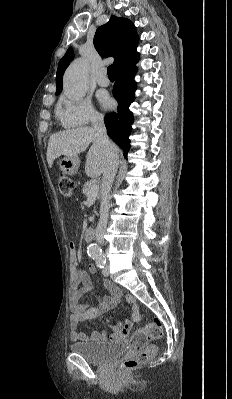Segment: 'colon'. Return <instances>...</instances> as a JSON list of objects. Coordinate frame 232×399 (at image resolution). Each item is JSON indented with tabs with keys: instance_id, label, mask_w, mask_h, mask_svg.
Here are the masks:
<instances>
[{
	"instance_id": "obj_1",
	"label": "colon",
	"mask_w": 232,
	"mask_h": 399,
	"mask_svg": "<svg viewBox=\"0 0 232 399\" xmlns=\"http://www.w3.org/2000/svg\"><path fill=\"white\" fill-rule=\"evenodd\" d=\"M56 183L61 185L62 196L73 197V180H70V177H66V174L57 175ZM159 337L161 327L157 321H150L149 326H134V334H129V353L137 355H124L123 368H141V365H149L153 351H146V347H152V341H159Z\"/></svg>"
}]
</instances>
